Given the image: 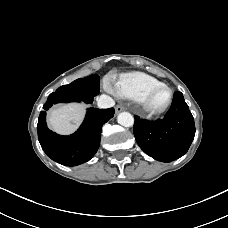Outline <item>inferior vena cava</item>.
Here are the masks:
<instances>
[{"label": "inferior vena cava", "mask_w": 228, "mask_h": 228, "mask_svg": "<svg viewBox=\"0 0 228 228\" xmlns=\"http://www.w3.org/2000/svg\"><path fill=\"white\" fill-rule=\"evenodd\" d=\"M97 104L99 108H110L115 105V102L110 96L101 95L97 100Z\"/></svg>", "instance_id": "obj_1"}]
</instances>
